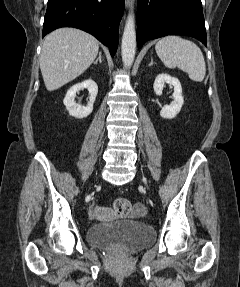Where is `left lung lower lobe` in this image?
<instances>
[{
    "mask_svg": "<svg viewBox=\"0 0 240 287\" xmlns=\"http://www.w3.org/2000/svg\"><path fill=\"white\" fill-rule=\"evenodd\" d=\"M166 35L195 37L207 46L201 0H138V48Z\"/></svg>",
    "mask_w": 240,
    "mask_h": 287,
    "instance_id": "0a47b994",
    "label": "left lung lower lobe"
}]
</instances>
